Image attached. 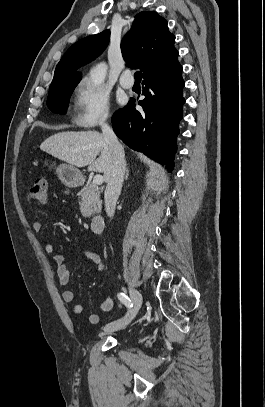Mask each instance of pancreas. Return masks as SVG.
I'll list each match as a JSON object with an SVG mask.
<instances>
[{
	"mask_svg": "<svg viewBox=\"0 0 265 407\" xmlns=\"http://www.w3.org/2000/svg\"><path fill=\"white\" fill-rule=\"evenodd\" d=\"M80 211L83 216L88 217L94 212H100L102 201L99 187L94 183H88L81 190Z\"/></svg>",
	"mask_w": 265,
	"mask_h": 407,
	"instance_id": "pancreas-1",
	"label": "pancreas"
}]
</instances>
